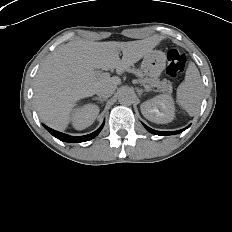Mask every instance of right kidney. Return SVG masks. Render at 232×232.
Wrapping results in <instances>:
<instances>
[{
	"label": "right kidney",
	"mask_w": 232,
	"mask_h": 232,
	"mask_svg": "<svg viewBox=\"0 0 232 232\" xmlns=\"http://www.w3.org/2000/svg\"><path fill=\"white\" fill-rule=\"evenodd\" d=\"M99 113L97 105L86 104L82 107H73L70 111V119L76 129H84L90 126Z\"/></svg>",
	"instance_id": "1"
}]
</instances>
